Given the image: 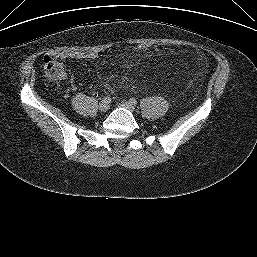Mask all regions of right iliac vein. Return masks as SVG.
<instances>
[{
  "label": "right iliac vein",
  "instance_id": "right-iliac-vein-1",
  "mask_svg": "<svg viewBox=\"0 0 257 257\" xmlns=\"http://www.w3.org/2000/svg\"><path fill=\"white\" fill-rule=\"evenodd\" d=\"M108 109H109L108 103H105L103 101L99 103V110L101 112H106Z\"/></svg>",
  "mask_w": 257,
  "mask_h": 257
}]
</instances>
